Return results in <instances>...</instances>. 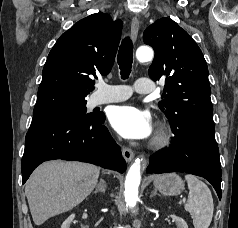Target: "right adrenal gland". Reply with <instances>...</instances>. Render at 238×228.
Masks as SVG:
<instances>
[{"instance_id":"1","label":"right adrenal gland","mask_w":238,"mask_h":228,"mask_svg":"<svg viewBox=\"0 0 238 228\" xmlns=\"http://www.w3.org/2000/svg\"><path fill=\"white\" fill-rule=\"evenodd\" d=\"M106 187H107L106 183L102 179H100V181H99L95 191H93V193H98V192L105 193Z\"/></svg>"}]
</instances>
